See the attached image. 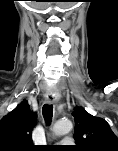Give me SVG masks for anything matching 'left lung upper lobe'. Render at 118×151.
<instances>
[{"label": "left lung upper lobe", "mask_w": 118, "mask_h": 151, "mask_svg": "<svg viewBox=\"0 0 118 151\" xmlns=\"http://www.w3.org/2000/svg\"><path fill=\"white\" fill-rule=\"evenodd\" d=\"M72 115L77 150L118 151V138L104 119L89 114L83 107H76Z\"/></svg>", "instance_id": "left-lung-upper-lobe-1"}]
</instances>
